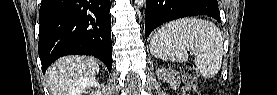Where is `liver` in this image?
Returning <instances> with one entry per match:
<instances>
[{"label":"liver","mask_w":277,"mask_h":95,"mask_svg":"<svg viewBox=\"0 0 277 95\" xmlns=\"http://www.w3.org/2000/svg\"><path fill=\"white\" fill-rule=\"evenodd\" d=\"M99 70L97 60L86 56H67L57 60L47 72L51 95H69L77 82L95 76Z\"/></svg>","instance_id":"1"}]
</instances>
